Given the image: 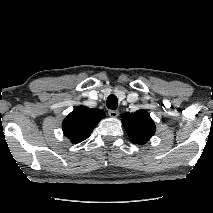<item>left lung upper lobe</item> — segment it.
<instances>
[{
	"label": "left lung upper lobe",
	"instance_id": "obj_1",
	"mask_svg": "<svg viewBox=\"0 0 213 213\" xmlns=\"http://www.w3.org/2000/svg\"><path fill=\"white\" fill-rule=\"evenodd\" d=\"M122 123L134 144L143 145L155 134V124L144 110L124 113Z\"/></svg>",
	"mask_w": 213,
	"mask_h": 213
}]
</instances>
